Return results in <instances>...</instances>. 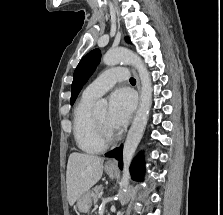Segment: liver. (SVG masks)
I'll return each mask as SVG.
<instances>
[{
    "instance_id": "6515ba94",
    "label": "liver",
    "mask_w": 223,
    "mask_h": 215,
    "mask_svg": "<svg viewBox=\"0 0 223 215\" xmlns=\"http://www.w3.org/2000/svg\"><path fill=\"white\" fill-rule=\"evenodd\" d=\"M103 157L90 155V153H70L67 171V199L70 205H74L76 199L89 191L102 177Z\"/></svg>"
}]
</instances>
